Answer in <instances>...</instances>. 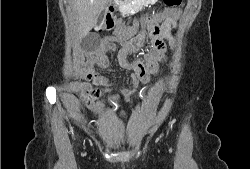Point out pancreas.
<instances>
[{
	"label": "pancreas",
	"mask_w": 250,
	"mask_h": 169,
	"mask_svg": "<svg viewBox=\"0 0 250 169\" xmlns=\"http://www.w3.org/2000/svg\"><path fill=\"white\" fill-rule=\"evenodd\" d=\"M123 2H126V4H128L129 10H131V12H133V10H137L135 4H131L130 0H123Z\"/></svg>",
	"instance_id": "obj_1"
}]
</instances>
